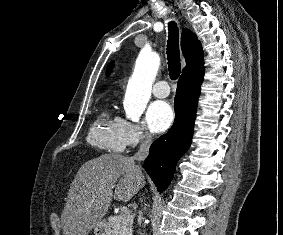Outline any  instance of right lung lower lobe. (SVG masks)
<instances>
[{
    "instance_id": "obj_1",
    "label": "right lung lower lobe",
    "mask_w": 283,
    "mask_h": 235,
    "mask_svg": "<svg viewBox=\"0 0 283 235\" xmlns=\"http://www.w3.org/2000/svg\"><path fill=\"white\" fill-rule=\"evenodd\" d=\"M203 75L201 73L188 78L180 77L174 104V124L167 134L151 145L149 156L145 159V170L159 192L167 188L178 160L191 144Z\"/></svg>"
}]
</instances>
